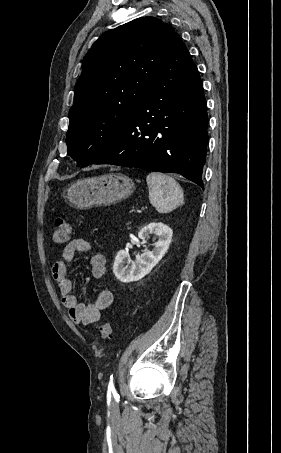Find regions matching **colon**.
Here are the masks:
<instances>
[{
    "label": "colon",
    "mask_w": 281,
    "mask_h": 453,
    "mask_svg": "<svg viewBox=\"0 0 281 453\" xmlns=\"http://www.w3.org/2000/svg\"><path fill=\"white\" fill-rule=\"evenodd\" d=\"M53 241L56 245L63 246L70 236L69 223L64 219H57L52 229ZM99 338L109 340L113 334V324L110 321L102 322L99 326Z\"/></svg>",
    "instance_id": "5ec220e1"
}]
</instances>
